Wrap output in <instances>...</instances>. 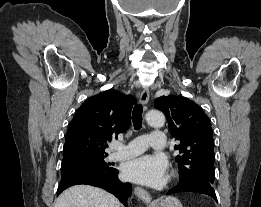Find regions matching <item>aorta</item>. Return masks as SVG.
<instances>
[{
    "mask_svg": "<svg viewBox=\"0 0 261 207\" xmlns=\"http://www.w3.org/2000/svg\"><path fill=\"white\" fill-rule=\"evenodd\" d=\"M146 121L151 127L160 128L165 123V116L161 111L151 110L146 114Z\"/></svg>",
    "mask_w": 261,
    "mask_h": 207,
    "instance_id": "762f6f07",
    "label": "aorta"
}]
</instances>
